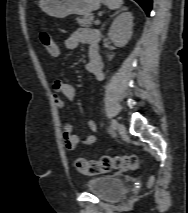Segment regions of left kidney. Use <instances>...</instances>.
<instances>
[{"label": "left kidney", "instance_id": "obj_1", "mask_svg": "<svg viewBox=\"0 0 188 213\" xmlns=\"http://www.w3.org/2000/svg\"><path fill=\"white\" fill-rule=\"evenodd\" d=\"M133 16L131 12H124L116 17L109 29L108 36L118 47H124L132 37Z\"/></svg>", "mask_w": 188, "mask_h": 213}]
</instances>
